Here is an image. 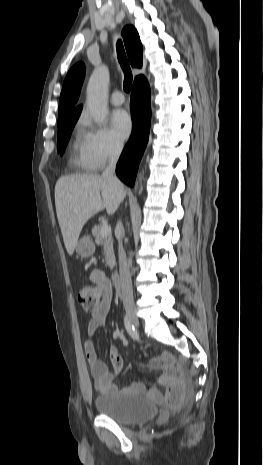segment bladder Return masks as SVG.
Listing matches in <instances>:
<instances>
[{"label": "bladder", "mask_w": 263, "mask_h": 465, "mask_svg": "<svg viewBox=\"0 0 263 465\" xmlns=\"http://www.w3.org/2000/svg\"><path fill=\"white\" fill-rule=\"evenodd\" d=\"M95 407L100 414L124 425L143 423L157 414L154 403L134 392H104L95 398Z\"/></svg>", "instance_id": "obj_1"}]
</instances>
